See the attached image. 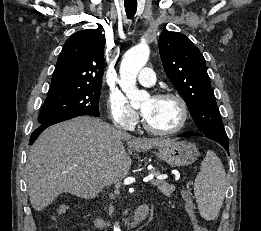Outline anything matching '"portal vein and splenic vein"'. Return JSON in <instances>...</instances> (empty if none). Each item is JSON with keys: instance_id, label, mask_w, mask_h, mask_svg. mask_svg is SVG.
<instances>
[{"instance_id": "portal-vein-and-splenic-vein-1", "label": "portal vein and splenic vein", "mask_w": 261, "mask_h": 231, "mask_svg": "<svg viewBox=\"0 0 261 231\" xmlns=\"http://www.w3.org/2000/svg\"><path fill=\"white\" fill-rule=\"evenodd\" d=\"M158 179H160V177H158ZM145 182L146 181H150L152 184H155V182H154V175H149L145 180H144Z\"/></svg>"}]
</instances>
